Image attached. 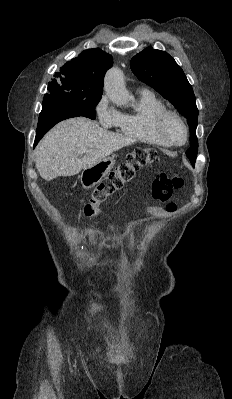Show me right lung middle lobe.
<instances>
[{
  "label": "right lung middle lobe",
  "instance_id": "dd1d6c3e",
  "mask_svg": "<svg viewBox=\"0 0 232 399\" xmlns=\"http://www.w3.org/2000/svg\"><path fill=\"white\" fill-rule=\"evenodd\" d=\"M49 94H45L44 104H61L70 109L82 112L90 118H95V106L101 99L102 93L69 90L63 86L49 82Z\"/></svg>",
  "mask_w": 232,
  "mask_h": 399
}]
</instances>
